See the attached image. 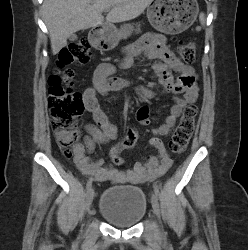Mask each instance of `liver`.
<instances>
[{
    "label": "liver",
    "instance_id": "1",
    "mask_svg": "<svg viewBox=\"0 0 248 250\" xmlns=\"http://www.w3.org/2000/svg\"><path fill=\"white\" fill-rule=\"evenodd\" d=\"M153 0H44L43 18L49 31L53 55L67 45V39L79 30L104 22L102 12L111 9L107 23H118L141 15Z\"/></svg>",
    "mask_w": 248,
    "mask_h": 250
}]
</instances>
